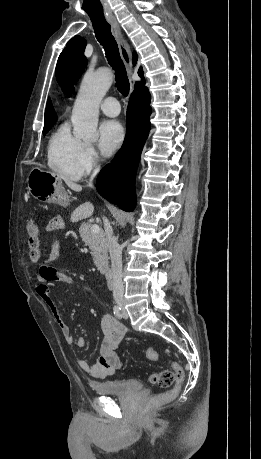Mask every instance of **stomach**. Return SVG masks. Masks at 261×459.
Instances as JSON below:
<instances>
[{"label": "stomach", "instance_id": "0dacf381", "mask_svg": "<svg viewBox=\"0 0 261 459\" xmlns=\"http://www.w3.org/2000/svg\"><path fill=\"white\" fill-rule=\"evenodd\" d=\"M27 187L30 194L44 203L65 205L68 200L62 180L54 173L33 168L27 178Z\"/></svg>", "mask_w": 261, "mask_h": 459}]
</instances>
